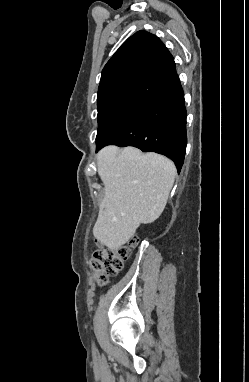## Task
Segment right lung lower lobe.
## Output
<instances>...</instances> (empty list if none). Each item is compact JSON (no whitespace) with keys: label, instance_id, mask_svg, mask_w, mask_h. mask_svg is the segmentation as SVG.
<instances>
[{"label":"right lung lower lobe","instance_id":"98d812e1","mask_svg":"<svg viewBox=\"0 0 249 382\" xmlns=\"http://www.w3.org/2000/svg\"><path fill=\"white\" fill-rule=\"evenodd\" d=\"M111 144L163 154L175 162L180 172L187 144L186 109L180 81L150 101L124 130L96 151Z\"/></svg>","mask_w":249,"mask_h":382}]
</instances>
